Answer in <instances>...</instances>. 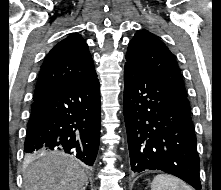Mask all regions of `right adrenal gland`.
Returning a JSON list of instances; mask_svg holds the SVG:
<instances>
[{"instance_id": "right-adrenal-gland-1", "label": "right adrenal gland", "mask_w": 221, "mask_h": 190, "mask_svg": "<svg viewBox=\"0 0 221 190\" xmlns=\"http://www.w3.org/2000/svg\"><path fill=\"white\" fill-rule=\"evenodd\" d=\"M86 189V186L85 187H83L81 190H85Z\"/></svg>"}]
</instances>
